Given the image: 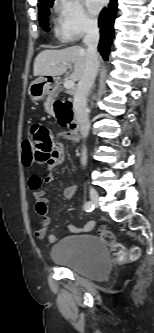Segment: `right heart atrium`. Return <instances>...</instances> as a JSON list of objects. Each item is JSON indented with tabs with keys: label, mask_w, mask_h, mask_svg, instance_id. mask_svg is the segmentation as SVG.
<instances>
[{
	"label": "right heart atrium",
	"mask_w": 154,
	"mask_h": 333,
	"mask_svg": "<svg viewBox=\"0 0 154 333\" xmlns=\"http://www.w3.org/2000/svg\"><path fill=\"white\" fill-rule=\"evenodd\" d=\"M56 35L62 42H74L95 29L96 21L81 0H57Z\"/></svg>",
	"instance_id": "1"
}]
</instances>
